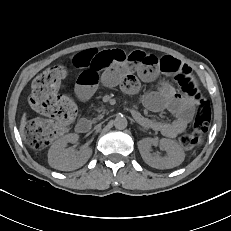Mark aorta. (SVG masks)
<instances>
[{
	"mask_svg": "<svg viewBox=\"0 0 231 231\" xmlns=\"http://www.w3.org/2000/svg\"><path fill=\"white\" fill-rule=\"evenodd\" d=\"M128 121L124 116H117L114 120V126L116 129L123 130L127 127Z\"/></svg>",
	"mask_w": 231,
	"mask_h": 231,
	"instance_id": "obj_1",
	"label": "aorta"
}]
</instances>
